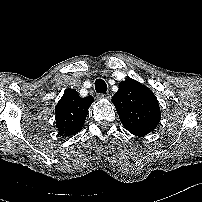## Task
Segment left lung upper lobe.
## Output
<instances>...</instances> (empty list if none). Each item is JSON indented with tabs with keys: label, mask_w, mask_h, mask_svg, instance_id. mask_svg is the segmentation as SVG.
Masks as SVG:
<instances>
[{
	"label": "left lung upper lobe",
	"mask_w": 202,
	"mask_h": 202,
	"mask_svg": "<svg viewBox=\"0 0 202 202\" xmlns=\"http://www.w3.org/2000/svg\"><path fill=\"white\" fill-rule=\"evenodd\" d=\"M112 102L123 126L133 135H147L161 119L159 103L153 92L134 79L120 83Z\"/></svg>",
	"instance_id": "1"
}]
</instances>
